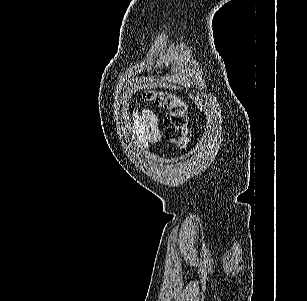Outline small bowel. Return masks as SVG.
<instances>
[{
	"label": "small bowel",
	"mask_w": 307,
	"mask_h": 301,
	"mask_svg": "<svg viewBox=\"0 0 307 301\" xmlns=\"http://www.w3.org/2000/svg\"><path fill=\"white\" fill-rule=\"evenodd\" d=\"M134 130L138 141L145 147L157 144L162 136L157 115L147 108L134 113Z\"/></svg>",
	"instance_id": "c3829d8e"
}]
</instances>
